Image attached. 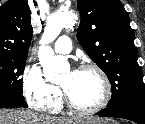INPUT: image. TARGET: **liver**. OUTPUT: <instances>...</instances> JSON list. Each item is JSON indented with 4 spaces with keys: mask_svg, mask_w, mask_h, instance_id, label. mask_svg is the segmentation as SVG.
Returning <instances> with one entry per match:
<instances>
[{
    "mask_svg": "<svg viewBox=\"0 0 145 124\" xmlns=\"http://www.w3.org/2000/svg\"><path fill=\"white\" fill-rule=\"evenodd\" d=\"M80 118H51L24 110H0V124H75Z\"/></svg>",
    "mask_w": 145,
    "mask_h": 124,
    "instance_id": "6515ba94",
    "label": "liver"
}]
</instances>
